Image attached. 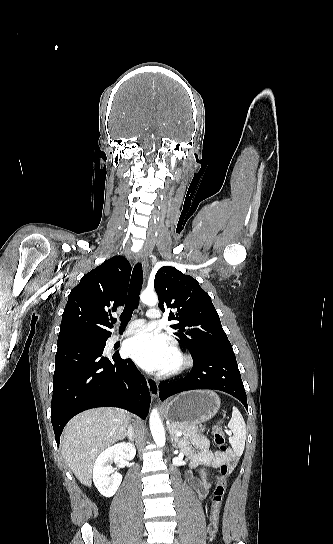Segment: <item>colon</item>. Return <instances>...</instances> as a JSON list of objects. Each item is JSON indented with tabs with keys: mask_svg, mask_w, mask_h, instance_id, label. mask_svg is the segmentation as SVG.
Here are the masks:
<instances>
[{
	"mask_svg": "<svg viewBox=\"0 0 333 544\" xmlns=\"http://www.w3.org/2000/svg\"><path fill=\"white\" fill-rule=\"evenodd\" d=\"M223 420H220L213 431V441L215 446L222 452L227 450L225 443V437L223 432ZM229 466L223 464L220 467V478L213 488L211 495V508L208 525V533L211 540H213L218 532L219 527V515L227 487V476L229 474Z\"/></svg>",
	"mask_w": 333,
	"mask_h": 544,
	"instance_id": "obj_1",
	"label": "colon"
}]
</instances>
